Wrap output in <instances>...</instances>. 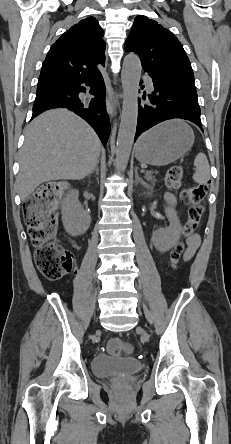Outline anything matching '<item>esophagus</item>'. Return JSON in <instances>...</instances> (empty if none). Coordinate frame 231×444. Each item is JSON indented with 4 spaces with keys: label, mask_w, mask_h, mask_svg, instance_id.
Listing matches in <instances>:
<instances>
[{
    "label": "esophagus",
    "mask_w": 231,
    "mask_h": 444,
    "mask_svg": "<svg viewBox=\"0 0 231 444\" xmlns=\"http://www.w3.org/2000/svg\"><path fill=\"white\" fill-rule=\"evenodd\" d=\"M121 94L117 92H107L106 95V108L108 114L112 117L115 112V108L119 105V99Z\"/></svg>",
    "instance_id": "34e87169"
}]
</instances>
